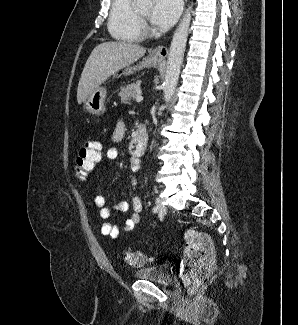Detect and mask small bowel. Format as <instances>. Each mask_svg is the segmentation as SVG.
Instances as JSON below:
<instances>
[{
  "mask_svg": "<svg viewBox=\"0 0 298 325\" xmlns=\"http://www.w3.org/2000/svg\"><path fill=\"white\" fill-rule=\"evenodd\" d=\"M125 131L126 128L124 123L122 121L118 122L112 135V141L114 143L121 141L125 135ZM117 156H118V151L115 146H110L106 150V158L108 160H114ZM140 166L141 163L139 159L134 157L130 159V169L133 172H137L140 169ZM131 183L133 186H135L136 180L132 179ZM94 204L96 207L100 209V217L103 219L110 218L111 214L114 211H118L122 214H127L130 210V207L132 209V212L128 214V216L125 219V223L122 227L113 224L111 222H106L102 225L101 234L110 239H117L122 231L131 232L132 230H134L135 226L138 224L140 220V213L142 211V202L137 195L133 196L131 205H129V203H127L126 201H121L119 203L112 205L111 207H107L104 196L98 194L94 197Z\"/></svg>",
  "mask_w": 298,
  "mask_h": 325,
  "instance_id": "c3829d8e",
  "label": "small bowel"
}]
</instances>
